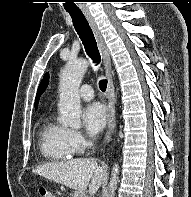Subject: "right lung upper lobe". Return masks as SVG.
<instances>
[{
	"mask_svg": "<svg viewBox=\"0 0 191 197\" xmlns=\"http://www.w3.org/2000/svg\"><path fill=\"white\" fill-rule=\"evenodd\" d=\"M48 82H49V76H48V73H46L45 76L43 77V79L41 80V83H40L38 90H37L36 99H35V108H37L39 98L42 95V93L45 91V89L48 85Z\"/></svg>",
	"mask_w": 191,
	"mask_h": 197,
	"instance_id": "1",
	"label": "right lung upper lobe"
}]
</instances>
